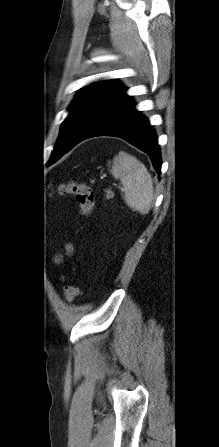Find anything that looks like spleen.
Here are the masks:
<instances>
[{
	"instance_id": "spleen-1",
	"label": "spleen",
	"mask_w": 219,
	"mask_h": 447,
	"mask_svg": "<svg viewBox=\"0 0 219 447\" xmlns=\"http://www.w3.org/2000/svg\"><path fill=\"white\" fill-rule=\"evenodd\" d=\"M111 173L123 184L124 200L141 214L150 211L154 190L147 168L136 157L121 151L113 159Z\"/></svg>"
}]
</instances>
